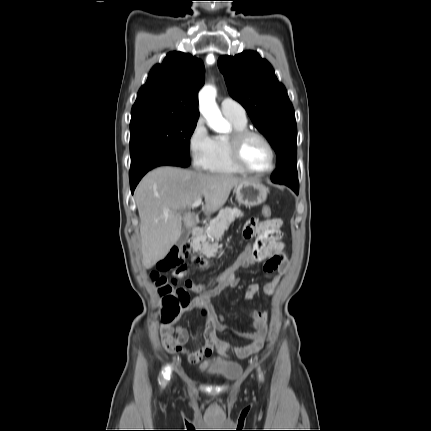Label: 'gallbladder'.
I'll return each instance as SVG.
<instances>
[{
	"mask_svg": "<svg viewBox=\"0 0 431 431\" xmlns=\"http://www.w3.org/2000/svg\"><path fill=\"white\" fill-rule=\"evenodd\" d=\"M189 230L187 228L182 229V233L181 236L179 238V240L177 241L178 246H182L183 244L186 243V241L189 238Z\"/></svg>",
	"mask_w": 431,
	"mask_h": 431,
	"instance_id": "1",
	"label": "gallbladder"
}]
</instances>
